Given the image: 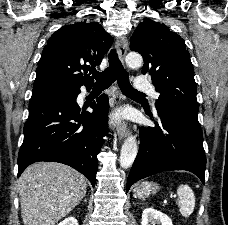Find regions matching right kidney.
<instances>
[{"mask_svg":"<svg viewBox=\"0 0 228 225\" xmlns=\"http://www.w3.org/2000/svg\"><path fill=\"white\" fill-rule=\"evenodd\" d=\"M59 225H78L77 219L75 217H67V219H64V221H61Z\"/></svg>","mask_w":228,"mask_h":225,"instance_id":"right-kidney-1","label":"right kidney"}]
</instances>
